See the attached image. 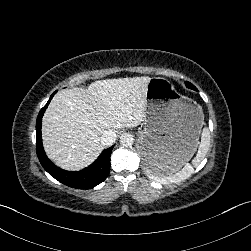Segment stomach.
I'll return each instance as SVG.
<instances>
[{
	"label": "stomach",
	"mask_w": 251,
	"mask_h": 251,
	"mask_svg": "<svg viewBox=\"0 0 251 251\" xmlns=\"http://www.w3.org/2000/svg\"><path fill=\"white\" fill-rule=\"evenodd\" d=\"M145 107L137 143L141 162L163 172L177 171L196 150L203 109L160 76L151 77L146 85Z\"/></svg>",
	"instance_id": "stomach-1"
}]
</instances>
